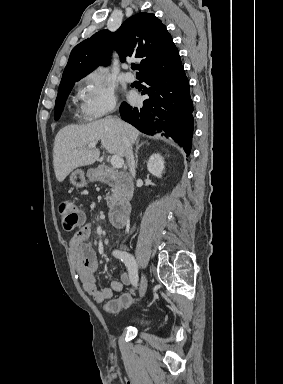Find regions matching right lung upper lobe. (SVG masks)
<instances>
[{"mask_svg":"<svg viewBox=\"0 0 283 384\" xmlns=\"http://www.w3.org/2000/svg\"><path fill=\"white\" fill-rule=\"evenodd\" d=\"M112 48L127 57L141 60L137 78L166 72L181 64V59L166 26L151 13H137L111 33L102 30L76 45L63 72L61 84L75 83L98 65H107Z\"/></svg>","mask_w":283,"mask_h":384,"instance_id":"1","label":"right lung upper lobe"}]
</instances>
